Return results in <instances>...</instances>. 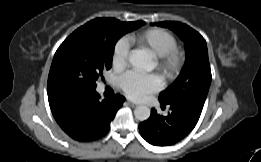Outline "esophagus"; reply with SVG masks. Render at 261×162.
I'll return each mask as SVG.
<instances>
[{
	"label": "esophagus",
	"mask_w": 261,
	"mask_h": 162,
	"mask_svg": "<svg viewBox=\"0 0 261 162\" xmlns=\"http://www.w3.org/2000/svg\"><path fill=\"white\" fill-rule=\"evenodd\" d=\"M126 103H127L128 105L132 106V107L137 106V104L133 103V102L130 101V100H127Z\"/></svg>",
	"instance_id": "34e87169"
}]
</instances>
